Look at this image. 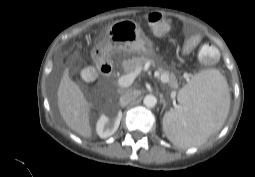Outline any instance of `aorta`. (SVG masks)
<instances>
[{
    "label": "aorta",
    "mask_w": 255,
    "mask_h": 177,
    "mask_svg": "<svg viewBox=\"0 0 255 177\" xmlns=\"http://www.w3.org/2000/svg\"><path fill=\"white\" fill-rule=\"evenodd\" d=\"M143 103L146 107L152 108L157 104V98L154 95H146Z\"/></svg>",
    "instance_id": "obj_1"
}]
</instances>
